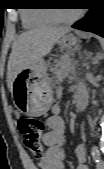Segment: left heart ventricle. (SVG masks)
<instances>
[{
	"mask_svg": "<svg viewBox=\"0 0 104 169\" xmlns=\"http://www.w3.org/2000/svg\"><path fill=\"white\" fill-rule=\"evenodd\" d=\"M58 12L62 17H69V16H72L76 12V10H74V9H60V10H58Z\"/></svg>",
	"mask_w": 104,
	"mask_h": 169,
	"instance_id": "1",
	"label": "left heart ventricle"
}]
</instances>
